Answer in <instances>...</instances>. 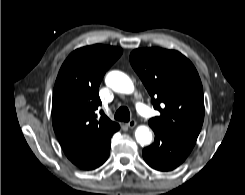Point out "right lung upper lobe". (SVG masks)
I'll return each mask as SVG.
<instances>
[{"instance_id": "obj_1", "label": "right lung upper lobe", "mask_w": 245, "mask_h": 195, "mask_svg": "<svg viewBox=\"0 0 245 195\" xmlns=\"http://www.w3.org/2000/svg\"><path fill=\"white\" fill-rule=\"evenodd\" d=\"M122 49L92 45L72 52L57 76L52 99L53 128L68 159L91 170L101 165L103 148L120 127L102 111L98 88Z\"/></svg>"}]
</instances>
